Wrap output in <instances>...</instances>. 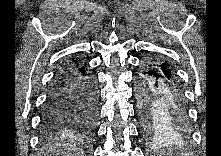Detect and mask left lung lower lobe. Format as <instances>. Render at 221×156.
Masks as SVG:
<instances>
[{"mask_svg": "<svg viewBox=\"0 0 221 156\" xmlns=\"http://www.w3.org/2000/svg\"><path fill=\"white\" fill-rule=\"evenodd\" d=\"M136 84L144 138L162 139L188 129L187 102L173 70L144 61L137 73Z\"/></svg>", "mask_w": 221, "mask_h": 156, "instance_id": "0a47b994", "label": "left lung lower lobe"}]
</instances>
